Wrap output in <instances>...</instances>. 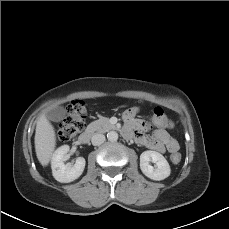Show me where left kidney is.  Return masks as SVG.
Masks as SVG:
<instances>
[{
    "label": "left kidney",
    "mask_w": 229,
    "mask_h": 229,
    "mask_svg": "<svg viewBox=\"0 0 229 229\" xmlns=\"http://www.w3.org/2000/svg\"><path fill=\"white\" fill-rule=\"evenodd\" d=\"M150 161L156 164L155 167L149 164ZM140 169L145 176L156 181L164 180L171 173L170 165L164 156L151 150L140 155Z\"/></svg>",
    "instance_id": "1"
}]
</instances>
